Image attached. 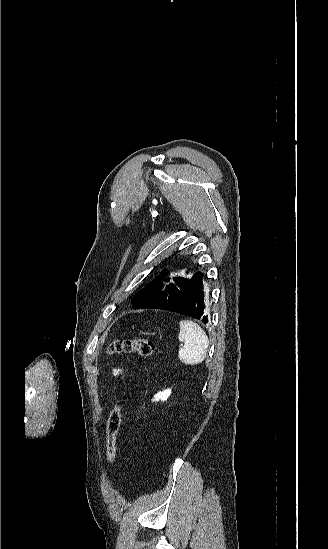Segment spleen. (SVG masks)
Instances as JSON below:
<instances>
[{
    "label": "spleen",
    "mask_w": 328,
    "mask_h": 549,
    "mask_svg": "<svg viewBox=\"0 0 328 549\" xmlns=\"http://www.w3.org/2000/svg\"><path fill=\"white\" fill-rule=\"evenodd\" d=\"M180 331L178 339L180 343H184L182 349L178 353V357L185 365H198L206 359L209 339L193 321H180Z\"/></svg>",
    "instance_id": "obj_1"
}]
</instances>
